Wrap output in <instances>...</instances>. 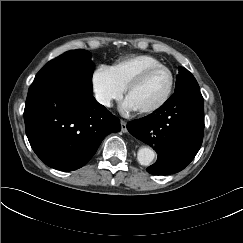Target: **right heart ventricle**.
Segmentation results:
<instances>
[{"label":"right heart ventricle","mask_w":243,"mask_h":243,"mask_svg":"<svg viewBox=\"0 0 243 243\" xmlns=\"http://www.w3.org/2000/svg\"><path fill=\"white\" fill-rule=\"evenodd\" d=\"M161 64L156 58L148 55H136L119 59L109 67L116 84L125 90L128 83L142 70Z\"/></svg>","instance_id":"e07e8e85"}]
</instances>
